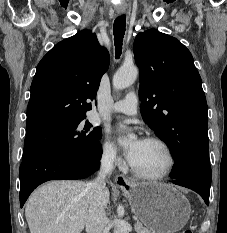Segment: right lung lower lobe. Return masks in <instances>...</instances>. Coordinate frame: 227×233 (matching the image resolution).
I'll return each mask as SVG.
<instances>
[{
  "label": "right lung lower lobe",
  "instance_id": "1",
  "mask_svg": "<svg viewBox=\"0 0 227 233\" xmlns=\"http://www.w3.org/2000/svg\"><path fill=\"white\" fill-rule=\"evenodd\" d=\"M102 155L101 144L81 153L71 150H52L24 159L20 165V206L31 192L49 180L82 179L98 170Z\"/></svg>",
  "mask_w": 227,
  "mask_h": 233
}]
</instances>
